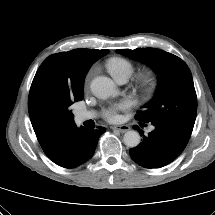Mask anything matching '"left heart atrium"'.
<instances>
[{
	"label": "left heart atrium",
	"instance_id": "1",
	"mask_svg": "<svg viewBox=\"0 0 215 215\" xmlns=\"http://www.w3.org/2000/svg\"><path fill=\"white\" fill-rule=\"evenodd\" d=\"M127 105L125 103L117 104L109 109H107L104 113V116L109 121H116L118 119V112L120 110L126 109Z\"/></svg>",
	"mask_w": 215,
	"mask_h": 215
}]
</instances>
